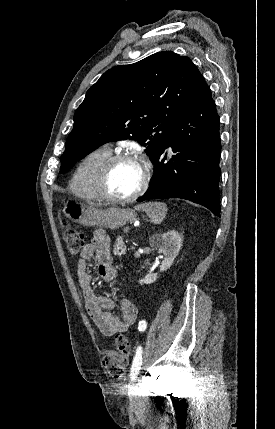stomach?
Masks as SVG:
<instances>
[{
	"mask_svg": "<svg viewBox=\"0 0 275 429\" xmlns=\"http://www.w3.org/2000/svg\"><path fill=\"white\" fill-rule=\"evenodd\" d=\"M66 218L85 226H101L118 229L136 219V213L130 209L111 207L98 209L81 202L67 201L62 210Z\"/></svg>",
	"mask_w": 275,
	"mask_h": 429,
	"instance_id": "1",
	"label": "stomach"
}]
</instances>
